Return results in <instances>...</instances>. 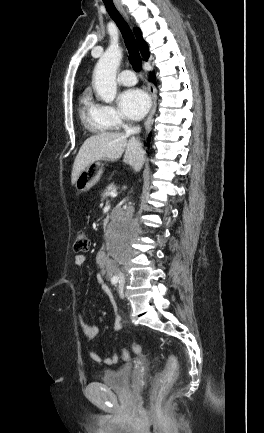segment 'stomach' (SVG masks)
Returning <instances> with one entry per match:
<instances>
[{
	"mask_svg": "<svg viewBox=\"0 0 264 433\" xmlns=\"http://www.w3.org/2000/svg\"><path fill=\"white\" fill-rule=\"evenodd\" d=\"M103 173V168L99 161L91 163L78 176L75 187L78 192H86L91 189L99 180Z\"/></svg>",
	"mask_w": 264,
	"mask_h": 433,
	"instance_id": "stomach-1",
	"label": "stomach"
}]
</instances>
